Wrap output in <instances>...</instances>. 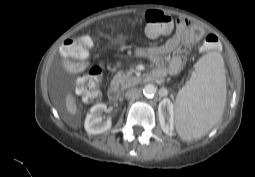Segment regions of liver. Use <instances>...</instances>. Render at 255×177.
Returning a JSON list of instances; mask_svg holds the SVG:
<instances>
[{"label": "liver", "instance_id": "1", "mask_svg": "<svg viewBox=\"0 0 255 177\" xmlns=\"http://www.w3.org/2000/svg\"><path fill=\"white\" fill-rule=\"evenodd\" d=\"M66 109L71 115H75L77 111L76 104L74 102V99L71 95L66 96Z\"/></svg>", "mask_w": 255, "mask_h": 177}]
</instances>
